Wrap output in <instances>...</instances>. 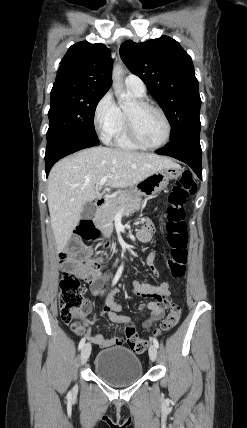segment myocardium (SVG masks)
I'll return each mask as SVG.
<instances>
[{"instance_id": "obj_1", "label": "myocardium", "mask_w": 247, "mask_h": 428, "mask_svg": "<svg viewBox=\"0 0 247 428\" xmlns=\"http://www.w3.org/2000/svg\"><path fill=\"white\" fill-rule=\"evenodd\" d=\"M133 104L137 109L150 108V109H153L156 112H158L160 114V116L162 117V119L164 120V123L166 126V133H165L164 139L158 144H148V143L144 142L136 132V129H135L134 123H133L132 115L128 111L125 110L126 129H127V133H128L129 138L131 139V141L133 143H135L137 146H139L140 148H144V149L155 150V149H160V148L166 146L171 139L172 125H171L169 117L167 116L165 111L160 106H158L152 102L143 100V99H137Z\"/></svg>"}]
</instances>
